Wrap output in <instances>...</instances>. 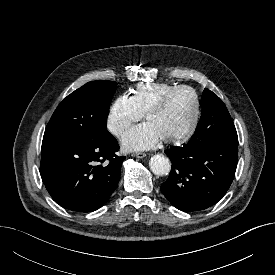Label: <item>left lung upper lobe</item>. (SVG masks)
Instances as JSON below:
<instances>
[{"instance_id": "1", "label": "left lung upper lobe", "mask_w": 275, "mask_h": 275, "mask_svg": "<svg viewBox=\"0 0 275 275\" xmlns=\"http://www.w3.org/2000/svg\"><path fill=\"white\" fill-rule=\"evenodd\" d=\"M202 114L189 146L199 144L238 145V136L231 116L222 100L212 91L202 94Z\"/></svg>"}]
</instances>
